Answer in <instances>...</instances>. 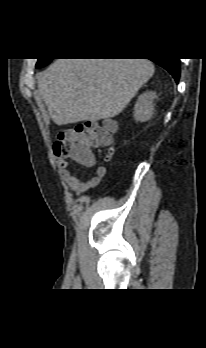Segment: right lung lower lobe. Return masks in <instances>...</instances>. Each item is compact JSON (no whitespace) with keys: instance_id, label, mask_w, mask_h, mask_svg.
<instances>
[{"instance_id":"right-lung-lower-lobe-1","label":"right lung lower lobe","mask_w":206,"mask_h":348,"mask_svg":"<svg viewBox=\"0 0 206 348\" xmlns=\"http://www.w3.org/2000/svg\"><path fill=\"white\" fill-rule=\"evenodd\" d=\"M165 68L175 79L176 83L179 81L180 76V61L177 58H166L152 60Z\"/></svg>"}]
</instances>
